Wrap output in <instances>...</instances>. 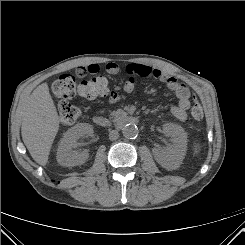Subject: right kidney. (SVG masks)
<instances>
[{"mask_svg":"<svg viewBox=\"0 0 245 245\" xmlns=\"http://www.w3.org/2000/svg\"><path fill=\"white\" fill-rule=\"evenodd\" d=\"M92 133L93 127L88 123L77 124L66 131L58 146V163L66 167L83 164L89 156L88 153L74 151V148L79 138L90 136Z\"/></svg>","mask_w":245,"mask_h":245,"instance_id":"right-kidney-1","label":"right kidney"}]
</instances>
